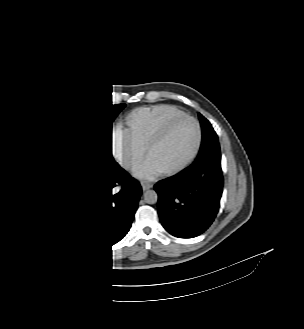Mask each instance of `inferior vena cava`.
Returning <instances> with one entry per match:
<instances>
[{
	"instance_id": "602c4592",
	"label": "inferior vena cava",
	"mask_w": 304,
	"mask_h": 329,
	"mask_svg": "<svg viewBox=\"0 0 304 329\" xmlns=\"http://www.w3.org/2000/svg\"><path fill=\"white\" fill-rule=\"evenodd\" d=\"M123 166L126 167V168H129L130 164L129 163H124Z\"/></svg>"
}]
</instances>
